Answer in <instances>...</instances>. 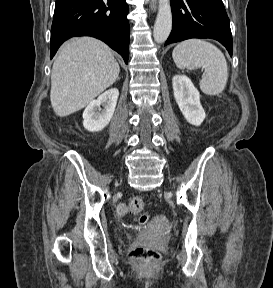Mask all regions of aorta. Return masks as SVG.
I'll return each instance as SVG.
<instances>
[{"label": "aorta", "instance_id": "obj_1", "mask_svg": "<svg viewBox=\"0 0 273 288\" xmlns=\"http://www.w3.org/2000/svg\"><path fill=\"white\" fill-rule=\"evenodd\" d=\"M172 29L170 0H159L158 13L154 24L153 37L157 43L167 40Z\"/></svg>", "mask_w": 273, "mask_h": 288}]
</instances>
